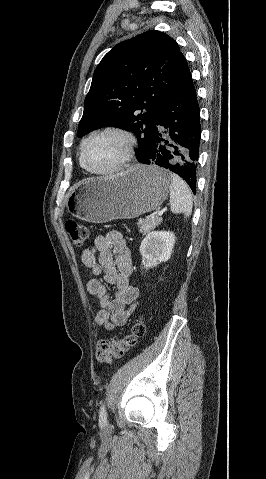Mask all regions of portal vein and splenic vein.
<instances>
[{
	"label": "portal vein and splenic vein",
	"mask_w": 266,
	"mask_h": 479,
	"mask_svg": "<svg viewBox=\"0 0 266 479\" xmlns=\"http://www.w3.org/2000/svg\"><path fill=\"white\" fill-rule=\"evenodd\" d=\"M164 211L163 210H160L157 212V217H161L163 215Z\"/></svg>",
	"instance_id": "1"
}]
</instances>
